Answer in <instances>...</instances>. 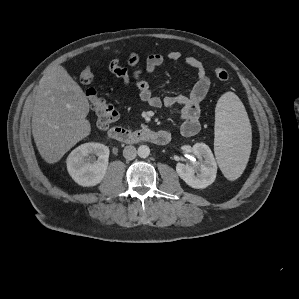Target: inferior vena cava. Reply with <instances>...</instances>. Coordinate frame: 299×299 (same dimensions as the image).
I'll return each instance as SVG.
<instances>
[{"label":"inferior vena cava","instance_id":"1","mask_svg":"<svg viewBox=\"0 0 299 299\" xmlns=\"http://www.w3.org/2000/svg\"><path fill=\"white\" fill-rule=\"evenodd\" d=\"M137 155L136 148L134 146H126L123 149V156L128 160H133Z\"/></svg>","mask_w":299,"mask_h":299}]
</instances>
